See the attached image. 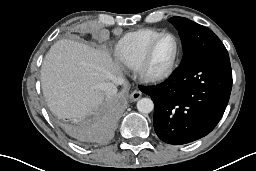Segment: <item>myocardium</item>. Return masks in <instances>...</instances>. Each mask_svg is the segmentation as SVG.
Returning a JSON list of instances; mask_svg holds the SVG:
<instances>
[{"label":"myocardium","mask_w":256,"mask_h":171,"mask_svg":"<svg viewBox=\"0 0 256 171\" xmlns=\"http://www.w3.org/2000/svg\"><path fill=\"white\" fill-rule=\"evenodd\" d=\"M172 37L175 41V53L173 56L172 61L170 64L161 71H152L150 68V62L152 58L153 51L156 47V45L159 43L161 39L164 37ZM180 57V42L177 36L171 32H163L159 34L157 37H155L147 46L138 66H137V72L139 77L147 83H158L161 81L166 80L169 78L174 70L176 69V66L178 64Z\"/></svg>","instance_id":"1"}]
</instances>
